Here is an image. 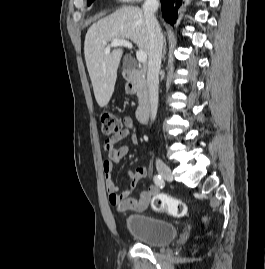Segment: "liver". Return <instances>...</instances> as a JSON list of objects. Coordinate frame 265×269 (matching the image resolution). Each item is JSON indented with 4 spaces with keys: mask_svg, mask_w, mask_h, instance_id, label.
Returning a JSON list of instances; mask_svg holds the SVG:
<instances>
[{
    "mask_svg": "<svg viewBox=\"0 0 265 269\" xmlns=\"http://www.w3.org/2000/svg\"><path fill=\"white\" fill-rule=\"evenodd\" d=\"M116 39H130L140 50L149 55V32L144 13L140 8L122 7L92 24L86 33L85 61L95 99L100 107H105L110 101L123 55L121 48L105 53L107 44Z\"/></svg>",
    "mask_w": 265,
    "mask_h": 269,
    "instance_id": "obj_1",
    "label": "liver"
}]
</instances>
